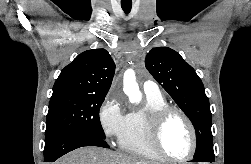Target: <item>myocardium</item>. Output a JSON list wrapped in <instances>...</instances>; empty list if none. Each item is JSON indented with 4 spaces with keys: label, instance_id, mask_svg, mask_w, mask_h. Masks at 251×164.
<instances>
[{
    "label": "myocardium",
    "instance_id": "myocardium-1",
    "mask_svg": "<svg viewBox=\"0 0 251 164\" xmlns=\"http://www.w3.org/2000/svg\"><path fill=\"white\" fill-rule=\"evenodd\" d=\"M177 115L183 119L191 134V150L182 158H174L166 153L162 145V133L167 121L171 116ZM149 139L154 151L163 159L169 162H185L190 160L197 150V134L190 118L180 109L167 106L153 112L149 118Z\"/></svg>",
    "mask_w": 251,
    "mask_h": 164
}]
</instances>
